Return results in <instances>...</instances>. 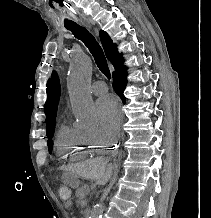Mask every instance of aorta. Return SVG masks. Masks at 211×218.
Masks as SVG:
<instances>
[{"instance_id": "1", "label": "aorta", "mask_w": 211, "mask_h": 218, "mask_svg": "<svg viewBox=\"0 0 211 218\" xmlns=\"http://www.w3.org/2000/svg\"><path fill=\"white\" fill-rule=\"evenodd\" d=\"M92 62L87 56L75 57L67 78V86L77 125L81 129L93 130L98 126L96 111L90 94ZM105 205L101 201L92 210L90 218H102Z\"/></svg>"}]
</instances>
